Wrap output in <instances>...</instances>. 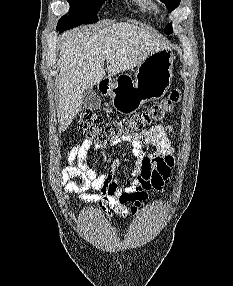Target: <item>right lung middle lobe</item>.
<instances>
[{
    "instance_id": "right-lung-middle-lobe-1",
    "label": "right lung middle lobe",
    "mask_w": 233,
    "mask_h": 286,
    "mask_svg": "<svg viewBox=\"0 0 233 286\" xmlns=\"http://www.w3.org/2000/svg\"><path fill=\"white\" fill-rule=\"evenodd\" d=\"M70 5V14L60 18L57 29L73 28L81 24L96 23L97 11L105 0H67Z\"/></svg>"
}]
</instances>
